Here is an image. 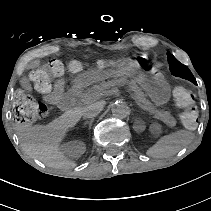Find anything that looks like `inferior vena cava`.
Wrapping results in <instances>:
<instances>
[{
	"label": "inferior vena cava",
	"mask_w": 211,
	"mask_h": 211,
	"mask_svg": "<svg viewBox=\"0 0 211 211\" xmlns=\"http://www.w3.org/2000/svg\"><path fill=\"white\" fill-rule=\"evenodd\" d=\"M103 109L102 102H94L88 106H85L81 109V114L84 118H93L97 116Z\"/></svg>",
	"instance_id": "1"
}]
</instances>
